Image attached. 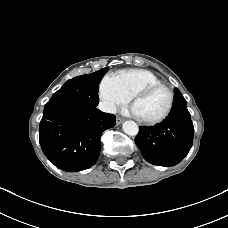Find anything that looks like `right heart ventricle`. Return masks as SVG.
I'll return each instance as SVG.
<instances>
[{"instance_id": "e07e8e85", "label": "right heart ventricle", "mask_w": 228, "mask_h": 228, "mask_svg": "<svg viewBox=\"0 0 228 228\" xmlns=\"http://www.w3.org/2000/svg\"><path fill=\"white\" fill-rule=\"evenodd\" d=\"M117 76L123 88L131 97L147 85L161 83V80L147 69L130 68L120 71Z\"/></svg>"}]
</instances>
